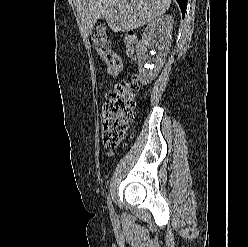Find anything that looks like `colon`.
I'll list each match as a JSON object with an SVG mask.
<instances>
[{"instance_id":"5ec220e1","label":"colon","mask_w":248,"mask_h":247,"mask_svg":"<svg viewBox=\"0 0 248 247\" xmlns=\"http://www.w3.org/2000/svg\"><path fill=\"white\" fill-rule=\"evenodd\" d=\"M123 39L127 55L133 57L138 43L137 36L133 33H126ZM92 40L96 52L106 64L107 74L119 75L122 70V60L111 48L105 27H98L92 35ZM138 88L137 79L133 77L128 81L118 83L109 92L101 116V135L106 148L115 149L125 139L134 118V95Z\"/></svg>"}]
</instances>
